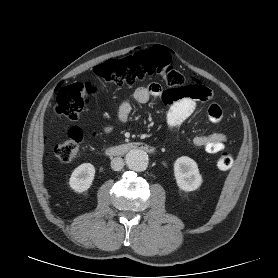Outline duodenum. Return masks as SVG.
Instances as JSON below:
<instances>
[{"instance_id": "1", "label": "duodenum", "mask_w": 278, "mask_h": 278, "mask_svg": "<svg viewBox=\"0 0 278 278\" xmlns=\"http://www.w3.org/2000/svg\"><path fill=\"white\" fill-rule=\"evenodd\" d=\"M136 150H142L150 154L154 153L155 151L154 147L149 144L142 142H133L110 147L106 149L105 154L108 156H121L128 152Z\"/></svg>"}]
</instances>
